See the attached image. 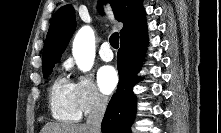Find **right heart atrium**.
Instances as JSON below:
<instances>
[{
	"mask_svg": "<svg viewBox=\"0 0 221 133\" xmlns=\"http://www.w3.org/2000/svg\"><path fill=\"white\" fill-rule=\"evenodd\" d=\"M74 86L78 107L82 114H93L105 108L107 99L98 91L90 76H78Z\"/></svg>",
	"mask_w": 221,
	"mask_h": 133,
	"instance_id": "right-heart-atrium-1",
	"label": "right heart atrium"
}]
</instances>
